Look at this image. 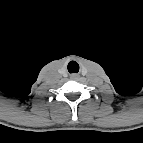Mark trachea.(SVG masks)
<instances>
[{
	"label": "trachea",
	"mask_w": 143,
	"mask_h": 143,
	"mask_svg": "<svg viewBox=\"0 0 143 143\" xmlns=\"http://www.w3.org/2000/svg\"><path fill=\"white\" fill-rule=\"evenodd\" d=\"M67 68H68L69 73H78L79 64L76 61H70L68 63Z\"/></svg>",
	"instance_id": "obj_1"
}]
</instances>
